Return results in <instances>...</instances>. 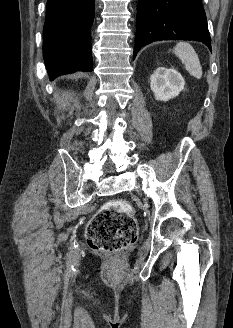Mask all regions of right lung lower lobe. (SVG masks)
<instances>
[{
    "mask_svg": "<svg viewBox=\"0 0 233 328\" xmlns=\"http://www.w3.org/2000/svg\"><path fill=\"white\" fill-rule=\"evenodd\" d=\"M94 0H48L43 56L50 79L93 68Z\"/></svg>",
    "mask_w": 233,
    "mask_h": 328,
    "instance_id": "1",
    "label": "right lung lower lobe"
}]
</instances>
